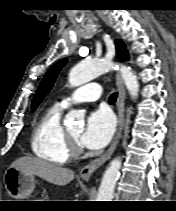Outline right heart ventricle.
I'll return each instance as SVG.
<instances>
[{
	"mask_svg": "<svg viewBox=\"0 0 176 211\" xmlns=\"http://www.w3.org/2000/svg\"><path fill=\"white\" fill-rule=\"evenodd\" d=\"M63 107L54 104L38 119L31 135V149L35 156L55 164H65L70 159V150L61 123Z\"/></svg>",
	"mask_w": 176,
	"mask_h": 211,
	"instance_id": "obj_1",
	"label": "right heart ventricle"
}]
</instances>
